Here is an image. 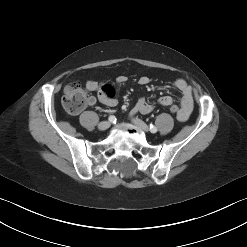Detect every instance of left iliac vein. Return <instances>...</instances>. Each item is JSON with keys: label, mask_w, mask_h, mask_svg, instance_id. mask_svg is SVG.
<instances>
[{"label": "left iliac vein", "mask_w": 247, "mask_h": 247, "mask_svg": "<svg viewBox=\"0 0 247 247\" xmlns=\"http://www.w3.org/2000/svg\"><path fill=\"white\" fill-rule=\"evenodd\" d=\"M131 121L135 126L142 129L143 131L147 132L149 130L148 125L146 123H144L142 120H140L138 118H132Z\"/></svg>", "instance_id": "left-iliac-vein-1"}]
</instances>
